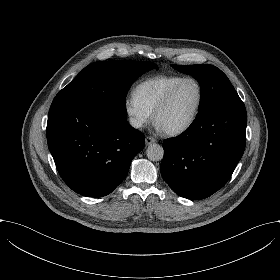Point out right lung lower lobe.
Listing matches in <instances>:
<instances>
[{"label": "right lung lower lobe", "mask_w": 280, "mask_h": 280, "mask_svg": "<svg viewBox=\"0 0 280 280\" xmlns=\"http://www.w3.org/2000/svg\"><path fill=\"white\" fill-rule=\"evenodd\" d=\"M48 148L64 182L88 197L110 194L126 177L145 137L114 113L76 100H53Z\"/></svg>", "instance_id": "obj_1"}]
</instances>
